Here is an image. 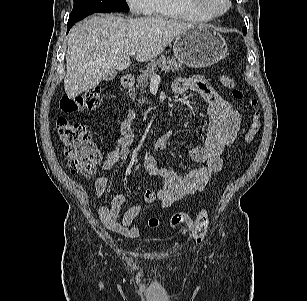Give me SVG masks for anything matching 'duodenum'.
<instances>
[{
  "instance_id": "duodenum-1",
  "label": "duodenum",
  "mask_w": 307,
  "mask_h": 301,
  "mask_svg": "<svg viewBox=\"0 0 307 301\" xmlns=\"http://www.w3.org/2000/svg\"><path fill=\"white\" fill-rule=\"evenodd\" d=\"M135 77L132 75L126 76L123 80V87L125 90H130L134 87Z\"/></svg>"
}]
</instances>
